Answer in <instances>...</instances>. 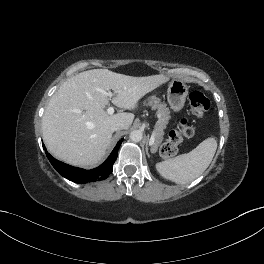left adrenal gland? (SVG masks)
<instances>
[{
    "instance_id": "a2214340",
    "label": "left adrenal gland",
    "mask_w": 264,
    "mask_h": 264,
    "mask_svg": "<svg viewBox=\"0 0 264 264\" xmlns=\"http://www.w3.org/2000/svg\"><path fill=\"white\" fill-rule=\"evenodd\" d=\"M148 146H149V144L147 143V144H146V153H147V155L149 156V152H148L149 148H148Z\"/></svg>"
}]
</instances>
